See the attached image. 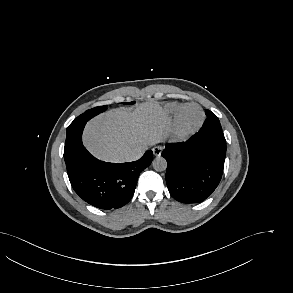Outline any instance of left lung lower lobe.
Instances as JSON below:
<instances>
[{"mask_svg": "<svg viewBox=\"0 0 293 293\" xmlns=\"http://www.w3.org/2000/svg\"><path fill=\"white\" fill-rule=\"evenodd\" d=\"M161 155L167 161L166 183L171 196L182 203H198L221 180L226 141L220 128L204 122L188 141L168 143Z\"/></svg>", "mask_w": 293, "mask_h": 293, "instance_id": "1", "label": "left lung lower lobe"}]
</instances>
